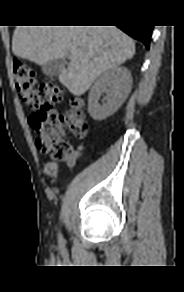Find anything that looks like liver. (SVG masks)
<instances>
[{
  "instance_id": "liver-1",
  "label": "liver",
  "mask_w": 184,
  "mask_h": 292,
  "mask_svg": "<svg viewBox=\"0 0 184 292\" xmlns=\"http://www.w3.org/2000/svg\"><path fill=\"white\" fill-rule=\"evenodd\" d=\"M12 51L38 65L62 60L67 68L59 75L60 83L81 96L99 75L131 59L135 43L115 26H17Z\"/></svg>"
}]
</instances>
